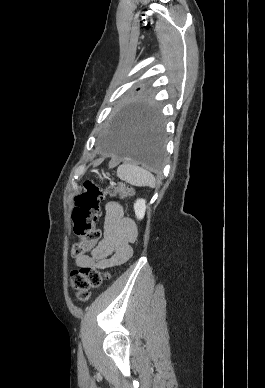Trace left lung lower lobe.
<instances>
[{"label": "left lung lower lobe", "mask_w": 265, "mask_h": 388, "mask_svg": "<svg viewBox=\"0 0 265 388\" xmlns=\"http://www.w3.org/2000/svg\"><path fill=\"white\" fill-rule=\"evenodd\" d=\"M164 127L157 110L124 108L105 137L104 148L118 158L159 170L164 159Z\"/></svg>", "instance_id": "obj_1"}]
</instances>
